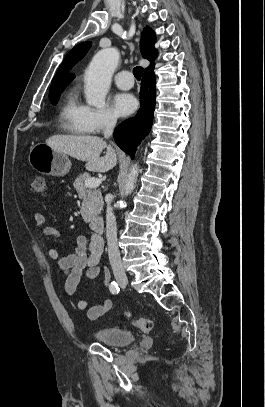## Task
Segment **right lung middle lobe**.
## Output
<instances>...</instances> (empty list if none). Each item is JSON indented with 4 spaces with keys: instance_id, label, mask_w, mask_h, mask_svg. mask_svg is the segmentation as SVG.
<instances>
[{
    "instance_id": "1",
    "label": "right lung middle lobe",
    "mask_w": 265,
    "mask_h": 407,
    "mask_svg": "<svg viewBox=\"0 0 265 407\" xmlns=\"http://www.w3.org/2000/svg\"><path fill=\"white\" fill-rule=\"evenodd\" d=\"M69 83L66 84H58V85H52L50 87V91H49V99L51 101L52 104H56L58 102V98L60 96V93L65 89V87L68 85Z\"/></svg>"
}]
</instances>
